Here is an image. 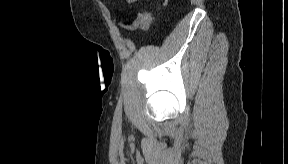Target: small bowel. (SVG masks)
I'll use <instances>...</instances> for the list:
<instances>
[{"mask_svg":"<svg viewBox=\"0 0 288 164\" xmlns=\"http://www.w3.org/2000/svg\"><path fill=\"white\" fill-rule=\"evenodd\" d=\"M142 15H149L150 17H151V22H152V20H153V13L152 12H143V13H141ZM150 22V23H151Z\"/></svg>","mask_w":288,"mask_h":164,"instance_id":"1","label":"small bowel"}]
</instances>
